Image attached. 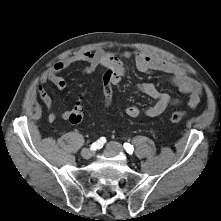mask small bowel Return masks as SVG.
<instances>
[{
	"label": "small bowel",
	"instance_id": "obj_1",
	"mask_svg": "<svg viewBox=\"0 0 221 221\" xmlns=\"http://www.w3.org/2000/svg\"><path fill=\"white\" fill-rule=\"evenodd\" d=\"M121 59L132 60L135 69L140 73L151 74L153 72H161L168 75L169 82L188 96V107L196 108L199 105L202 95V86L199 82L190 78L183 67L162 56L148 54L138 50L109 52L104 49H98L94 52L84 51L66 57L56 62L48 71L42 74L41 84L37 86V93L45 107L50 110L53 106V100L46 91L44 85L51 83L58 89H65L67 87V82L60 73L78 62L86 63L83 69V72L86 74L92 73L99 67L111 66L114 70L112 86H115L127 72V67ZM135 89L154 100V103L144 110L145 115L148 117H157L170 106L179 103L170 93L159 90L152 83H140L136 85ZM70 113L71 110L63 111L61 113V118L68 120ZM125 113L130 118H137L141 110L135 105H130L126 108ZM48 119L50 122H54L57 116L55 113L50 112Z\"/></svg>",
	"mask_w": 221,
	"mask_h": 221
}]
</instances>
